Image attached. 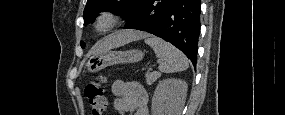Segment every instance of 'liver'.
Segmentation results:
<instances>
[{"mask_svg":"<svg viewBox=\"0 0 285 115\" xmlns=\"http://www.w3.org/2000/svg\"><path fill=\"white\" fill-rule=\"evenodd\" d=\"M148 35L144 32L123 30L109 35L103 42L96 48L95 53H104L110 49L123 46L132 41L140 40Z\"/></svg>","mask_w":285,"mask_h":115,"instance_id":"liver-1","label":"liver"}]
</instances>
